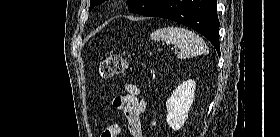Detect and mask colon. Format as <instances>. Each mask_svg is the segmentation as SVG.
Here are the masks:
<instances>
[{
    "label": "colon",
    "mask_w": 280,
    "mask_h": 137,
    "mask_svg": "<svg viewBox=\"0 0 280 137\" xmlns=\"http://www.w3.org/2000/svg\"><path fill=\"white\" fill-rule=\"evenodd\" d=\"M128 67L126 58L121 54H112L103 60L98 68L99 76L103 79H111L123 75ZM119 129L106 130L102 137H118Z\"/></svg>",
    "instance_id": "1"
}]
</instances>
